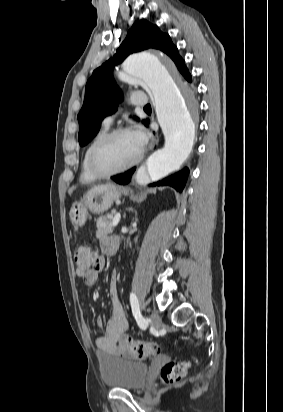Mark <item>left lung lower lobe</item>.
<instances>
[{"label":"left lung lower lobe","instance_id":"left-lung-lower-lobe-1","mask_svg":"<svg viewBox=\"0 0 283 412\" xmlns=\"http://www.w3.org/2000/svg\"><path fill=\"white\" fill-rule=\"evenodd\" d=\"M186 80L191 81V75L188 74L185 76ZM147 125V123H145ZM135 168H132L125 173L118 174L115 176H112L111 179L114 180L115 182L119 184H127L130 179L132 174L134 173ZM189 169L184 168L183 170L161 180L156 183H153L152 186H163V185H169L175 188L178 192H182L183 188L185 187V183L188 177Z\"/></svg>","mask_w":283,"mask_h":412}]
</instances>
